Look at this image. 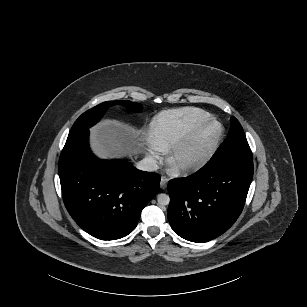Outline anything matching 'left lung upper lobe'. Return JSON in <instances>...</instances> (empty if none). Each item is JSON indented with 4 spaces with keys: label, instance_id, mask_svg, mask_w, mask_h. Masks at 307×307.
Segmentation results:
<instances>
[{
    "label": "left lung upper lobe",
    "instance_id": "obj_1",
    "mask_svg": "<svg viewBox=\"0 0 307 307\" xmlns=\"http://www.w3.org/2000/svg\"><path fill=\"white\" fill-rule=\"evenodd\" d=\"M231 127L227 138L217 149L210 162L225 158H244L252 160V153L243 128L235 117H231Z\"/></svg>",
    "mask_w": 307,
    "mask_h": 307
}]
</instances>
